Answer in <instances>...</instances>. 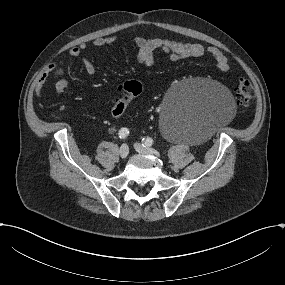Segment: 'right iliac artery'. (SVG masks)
I'll use <instances>...</instances> for the list:
<instances>
[{
    "label": "right iliac artery",
    "mask_w": 285,
    "mask_h": 285,
    "mask_svg": "<svg viewBox=\"0 0 285 285\" xmlns=\"http://www.w3.org/2000/svg\"><path fill=\"white\" fill-rule=\"evenodd\" d=\"M118 135L120 139H124L129 135V130L127 128H122L120 129Z\"/></svg>",
    "instance_id": "82829eb1"
}]
</instances>
